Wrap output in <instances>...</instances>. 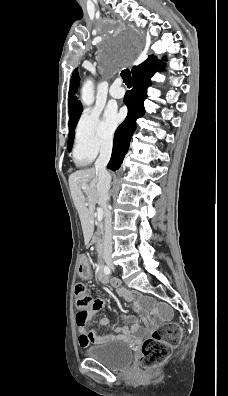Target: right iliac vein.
<instances>
[{"label":"right iliac vein","mask_w":228,"mask_h":396,"mask_svg":"<svg viewBox=\"0 0 228 396\" xmlns=\"http://www.w3.org/2000/svg\"><path fill=\"white\" fill-rule=\"evenodd\" d=\"M108 265L109 267L114 268V264L111 261L108 262Z\"/></svg>","instance_id":"obj_1"}]
</instances>
